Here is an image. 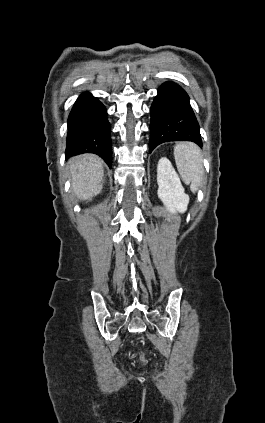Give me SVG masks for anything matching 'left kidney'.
Masks as SVG:
<instances>
[{"instance_id": "1", "label": "left kidney", "mask_w": 265, "mask_h": 423, "mask_svg": "<svg viewBox=\"0 0 265 423\" xmlns=\"http://www.w3.org/2000/svg\"><path fill=\"white\" fill-rule=\"evenodd\" d=\"M158 197L166 209L173 214L187 210L189 196L185 194L180 178L171 162L162 157L157 166Z\"/></svg>"}]
</instances>
